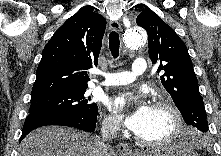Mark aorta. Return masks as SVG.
<instances>
[{"label":"aorta","mask_w":221,"mask_h":156,"mask_svg":"<svg viewBox=\"0 0 221 156\" xmlns=\"http://www.w3.org/2000/svg\"><path fill=\"white\" fill-rule=\"evenodd\" d=\"M146 41V33L139 27L127 29L123 35L124 45L130 49H137L145 45Z\"/></svg>","instance_id":"762f6f07"}]
</instances>
